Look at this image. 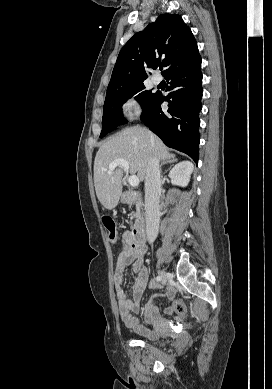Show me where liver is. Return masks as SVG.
<instances>
[{"instance_id": "1", "label": "liver", "mask_w": 272, "mask_h": 389, "mask_svg": "<svg viewBox=\"0 0 272 389\" xmlns=\"http://www.w3.org/2000/svg\"><path fill=\"white\" fill-rule=\"evenodd\" d=\"M153 155L163 161L175 158L159 137L139 126L127 127L101 145L94 161V185L97 198L106 209L115 208L122 194L123 168L118 166L109 175V165L124 159L130 173H137L139 181H143Z\"/></svg>"}]
</instances>
